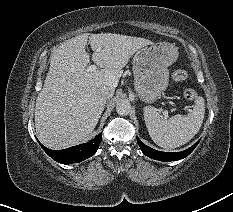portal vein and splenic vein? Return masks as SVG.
Listing matches in <instances>:
<instances>
[{"mask_svg":"<svg viewBox=\"0 0 233 212\" xmlns=\"http://www.w3.org/2000/svg\"><path fill=\"white\" fill-rule=\"evenodd\" d=\"M88 71H91V72H93V71H96V65H90L89 67H88ZM163 114H164V116L167 118L168 117V111L167 110H164L163 111Z\"/></svg>","mask_w":233,"mask_h":212,"instance_id":"obj_1","label":"portal vein and splenic vein"}]
</instances>
